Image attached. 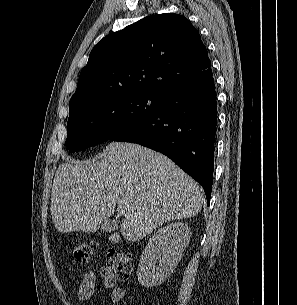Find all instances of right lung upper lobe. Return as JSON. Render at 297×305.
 Here are the masks:
<instances>
[{
	"label": "right lung upper lobe",
	"instance_id": "cb5924a9",
	"mask_svg": "<svg viewBox=\"0 0 297 305\" xmlns=\"http://www.w3.org/2000/svg\"><path fill=\"white\" fill-rule=\"evenodd\" d=\"M198 31L184 16L146 17L103 38L82 69L69 111L128 92L160 95L212 77Z\"/></svg>",
	"mask_w": 297,
	"mask_h": 305
}]
</instances>
